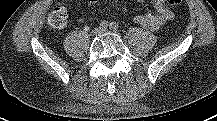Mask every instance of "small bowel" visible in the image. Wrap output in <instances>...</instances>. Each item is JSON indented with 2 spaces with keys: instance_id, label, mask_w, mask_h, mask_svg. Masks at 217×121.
Returning <instances> with one entry per match:
<instances>
[{
  "instance_id": "1",
  "label": "small bowel",
  "mask_w": 217,
  "mask_h": 121,
  "mask_svg": "<svg viewBox=\"0 0 217 121\" xmlns=\"http://www.w3.org/2000/svg\"><path fill=\"white\" fill-rule=\"evenodd\" d=\"M96 1L97 0H89V4L93 5ZM136 1L142 2L144 0ZM154 4L157 14H140L134 18L136 23L149 30H157L164 23L174 18V12L166 6V0H154Z\"/></svg>"
}]
</instances>
